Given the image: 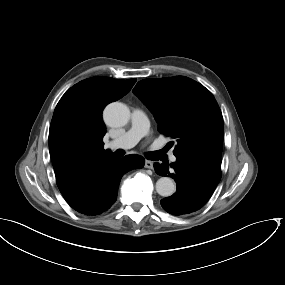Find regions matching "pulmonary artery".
<instances>
[{
	"label": "pulmonary artery",
	"instance_id": "e3ab8cb5",
	"mask_svg": "<svg viewBox=\"0 0 285 285\" xmlns=\"http://www.w3.org/2000/svg\"><path fill=\"white\" fill-rule=\"evenodd\" d=\"M148 131L149 124L145 114L141 110L136 109L131 115L130 129L120 137L105 143V149L115 150L132 148L148 133ZM172 160L174 161L173 157Z\"/></svg>",
	"mask_w": 285,
	"mask_h": 285
}]
</instances>
